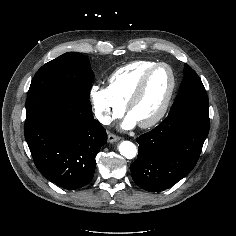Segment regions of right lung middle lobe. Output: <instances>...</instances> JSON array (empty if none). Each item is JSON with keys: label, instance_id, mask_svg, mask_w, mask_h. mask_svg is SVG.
<instances>
[{"label": "right lung middle lobe", "instance_id": "1", "mask_svg": "<svg viewBox=\"0 0 236 236\" xmlns=\"http://www.w3.org/2000/svg\"><path fill=\"white\" fill-rule=\"evenodd\" d=\"M93 79L87 57L68 52L38 70L27 97L38 93H55L89 99Z\"/></svg>", "mask_w": 236, "mask_h": 236}]
</instances>
